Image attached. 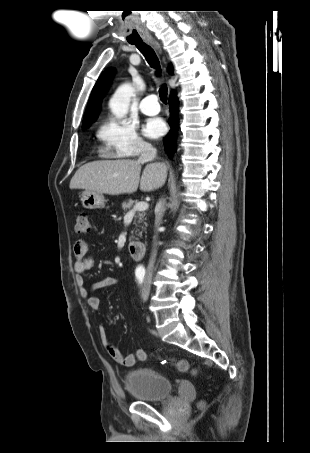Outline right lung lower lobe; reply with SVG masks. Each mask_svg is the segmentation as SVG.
<instances>
[{"label": "right lung lower lobe", "mask_w": 310, "mask_h": 453, "mask_svg": "<svg viewBox=\"0 0 310 453\" xmlns=\"http://www.w3.org/2000/svg\"><path fill=\"white\" fill-rule=\"evenodd\" d=\"M169 108H170V119L169 125L171 126L170 132L164 137L163 142L165 145V150L169 154V157L175 152L176 148V138L178 131V99L174 91H172L169 97Z\"/></svg>", "instance_id": "98d812e1"}]
</instances>
